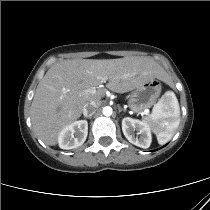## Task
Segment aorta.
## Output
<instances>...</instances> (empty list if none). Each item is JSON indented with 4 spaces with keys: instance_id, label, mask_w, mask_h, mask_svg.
Returning <instances> with one entry per match:
<instances>
[{
    "instance_id": "762f6f07",
    "label": "aorta",
    "mask_w": 210,
    "mask_h": 210,
    "mask_svg": "<svg viewBox=\"0 0 210 210\" xmlns=\"http://www.w3.org/2000/svg\"><path fill=\"white\" fill-rule=\"evenodd\" d=\"M103 114L105 116H111L112 115V108L109 106H106L103 108Z\"/></svg>"
}]
</instances>
